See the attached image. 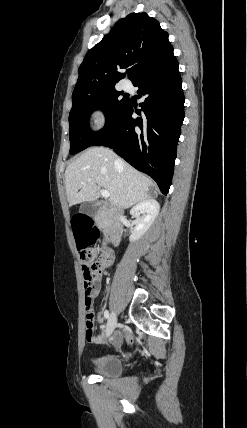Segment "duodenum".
<instances>
[{"label":"duodenum","mask_w":247,"mask_h":428,"mask_svg":"<svg viewBox=\"0 0 247 428\" xmlns=\"http://www.w3.org/2000/svg\"><path fill=\"white\" fill-rule=\"evenodd\" d=\"M101 204V202H98ZM106 208L107 236L111 246H117L122 235V224L119 216L108 206Z\"/></svg>","instance_id":"duodenum-1"}]
</instances>
